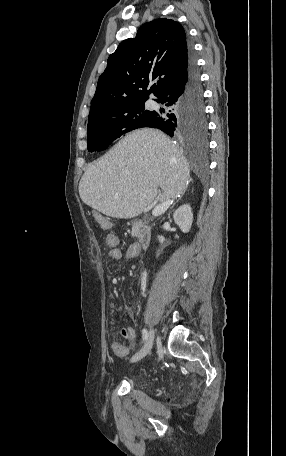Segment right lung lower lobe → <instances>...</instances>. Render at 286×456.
Here are the masks:
<instances>
[{"instance_id":"1","label":"right lung lower lobe","mask_w":286,"mask_h":456,"mask_svg":"<svg viewBox=\"0 0 286 456\" xmlns=\"http://www.w3.org/2000/svg\"><path fill=\"white\" fill-rule=\"evenodd\" d=\"M157 98L155 99L156 102L165 104L169 109L166 112L164 110L155 112L146 127L161 129L172 137L176 134L182 136L189 134L204 135L206 119L203 91L192 53L186 76L165 89ZM194 124L204 126L203 132H191L190 127Z\"/></svg>"}]
</instances>
